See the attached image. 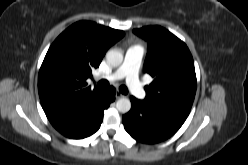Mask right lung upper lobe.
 <instances>
[{"label": "right lung upper lobe", "mask_w": 248, "mask_h": 165, "mask_svg": "<svg viewBox=\"0 0 248 165\" xmlns=\"http://www.w3.org/2000/svg\"><path fill=\"white\" fill-rule=\"evenodd\" d=\"M124 35L121 30L79 21L53 42L38 76L41 104L52 125L75 118L102 98L105 89L91 88L86 80Z\"/></svg>", "instance_id": "obj_1"}]
</instances>
